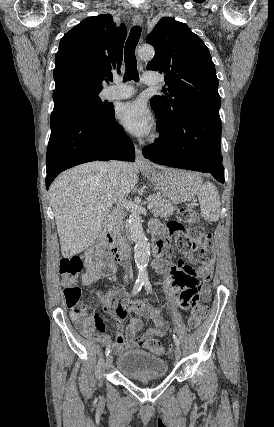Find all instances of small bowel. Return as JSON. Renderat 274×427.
<instances>
[{
  "instance_id": "c3829d8e",
  "label": "small bowel",
  "mask_w": 274,
  "mask_h": 427,
  "mask_svg": "<svg viewBox=\"0 0 274 427\" xmlns=\"http://www.w3.org/2000/svg\"><path fill=\"white\" fill-rule=\"evenodd\" d=\"M157 222L151 224V231L155 234L158 226ZM200 247L197 244L192 245L190 251H180V255L186 257L189 264H194L196 259L194 254L199 252ZM206 257L213 255V251H203ZM85 272L82 276V283L85 286L95 284L102 278L112 277L117 269L118 259L114 256L112 250H106L101 245L88 248L84 253ZM201 268L205 267L204 263L200 264ZM155 270L162 275H166L164 286L174 302L182 297L180 302L181 310H190L191 302H197L198 294H202L204 300H209L210 287L207 284H213L215 277L213 271L217 268L215 261L206 263L207 269H198L193 271L190 267L183 266L181 261L171 258L157 259L154 262ZM193 276H197L194 280ZM202 284L199 285V281ZM102 307L105 311H110L116 322L118 331L114 340L106 334L107 325L104 319L98 313L89 314L87 310L82 309L73 311L71 319L76 324L80 333L93 341L100 342L119 354L128 350L136 349L142 346L145 339L164 336L167 331L172 330L168 318H160L155 312L158 309L155 304H150L149 299H136L131 301L127 296L119 291H111L101 298ZM177 309L176 307L174 308ZM131 312L149 313L150 328L141 336H137L142 327V320L139 317H131L127 327L124 326L125 320ZM168 316L167 314L163 315ZM172 316L171 314L169 315ZM184 316L183 314L181 315Z\"/></svg>"
}]
</instances>
